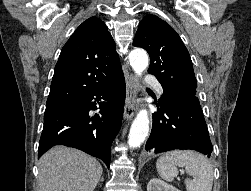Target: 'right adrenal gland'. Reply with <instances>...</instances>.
Returning a JSON list of instances; mask_svg holds the SVG:
<instances>
[{"mask_svg": "<svg viewBox=\"0 0 251 191\" xmlns=\"http://www.w3.org/2000/svg\"><path fill=\"white\" fill-rule=\"evenodd\" d=\"M100 181H104V177H101Z\"/></svg>", "mask_w": 251, "mask_h": 191, "instance_id": "obj_1", "label": "right adrenal gland"}]
</instances>
